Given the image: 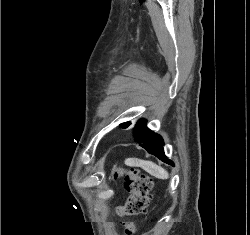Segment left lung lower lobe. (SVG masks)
Wrapping results in <instances>:
<instances>
[{
    "instance_id": "left-lung-lower-lobe-1",
    "label": "left lung lower lobe",
    "mask_w": 250,
    "mask_h": 235,
    "mask_svg": "<svg viewBox=\"0 0 250 235\" xmlns=\"http://www.w3.org/2000/svg\"><path fill=\"white\" fill-rule=\"evenodd\" d=\"M134 135L136 141L138 143H141L140 146L146 149L150 154L155 155L160 160L170 165H174L173 162L167 159L164 154L163 139L160 135L152 132L149 128L146 127V121L144 119H141L136 124L134 129Z\"/></svg>"
}]
</instances>
